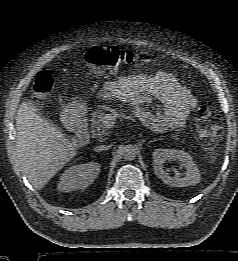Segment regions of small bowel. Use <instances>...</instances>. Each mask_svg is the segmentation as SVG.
<instances>
[{
    "label": "small bowel",
    "mask_w": 238,
    "mask_h": 261,
    "mask_svg": "<svg viewBox=\"0 0 238 261\" xmlns=\"http://www.w3.org/2000/svg\"><path fill=\"white\" fill-rule=\"evenodd\" d=\"M92 90L101 99L128 103L143 124L158 132L183 128L197 103L187 88L163 71L152 76H120L102 85L94 84ZM153 102L157 105L150 111L146 106Z\"/></svg>",
    "instance_id": "obj_1"
}]
</instances>
